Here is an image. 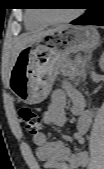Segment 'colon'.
I'll use <instances>...</instances> for the list:
<instances>
[{
  "label": "colon",
  "mask_w": 104,
  "mask_h": 169,
  "mask_svg": "<svg viewBox=\"0 0 104 169\" xmlns=\"http://www.w3.org/2000/svg\"><path fill=\"white\" fill-rule=\"evenodd\" d=\"M18 114L25 131L31 136L38 135L42 129V119L39 113L30 107L22 106L19 108Z\"/></svg>",
  "instance_id": "1"
}]
</instances>
